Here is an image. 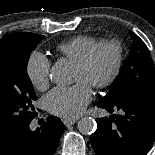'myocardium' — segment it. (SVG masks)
Listing matches in <instances>:
<instances>
[{
    "instance_id": "myocardium-1",
    "label": "myocardium",
    "mask_w": 155,
    "mask_h": 155,
    "mask_svg": "<svg viewBox=\"0 0 155 155\" xmlns=\"http://www.w3.org/2000/svg\"><path fill=\"white\" fill-rule=\"evenodd\" d=\"M104 48H111L114 50L115 61L110 74L106 78L91 84V86L96 89H102L110 86L117 80L118 76L120 75L123 65V49L121 44L115 40L102 41L95 45L91 50H89V52L76 63V66L79 69L87 71L91 67L98 53Z\"/></svg>"
}]
</instances>
